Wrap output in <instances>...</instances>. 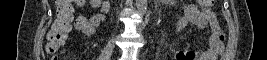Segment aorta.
<instances>
[{
	"label": "aorta",
	"mask_w": 267,
	"mask_h": 60,
	"mask_svg": "<svg viewBox=\"0 0 267 60\" xmlns=\"http://www.w3.org/2000/svg\"><path fill=\"white\" fill-rule=\"evenodd\" d=\"M136 8L141 15H144L147 11V0H135Z\"/></svg>",
	"instance_id": "762f6f07"
}]
</instances>
